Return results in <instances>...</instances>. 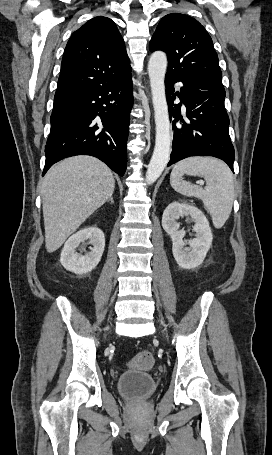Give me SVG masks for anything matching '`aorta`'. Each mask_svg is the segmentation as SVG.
Masks as SVG:
<instances>
[{
    "label": "aorta",
    "mask_w": 272,
    "mask_h": 455,
    "mask_svg": "<svg viewBox=\"0 0 272 455\" xmlns=\"http://www.w3.org/2000/svg\"><path fill=\"white\" fill-rule=\"evenodd\" d=\"M167 56L162 51L152 53L148 62V74L152 92L156 125L155 148L146 172L148 184L154 183L162 174L170 159L171 125L165 94Z\"/></svg>",
    "instance_id": "aorta-1"
}]
</instances>
